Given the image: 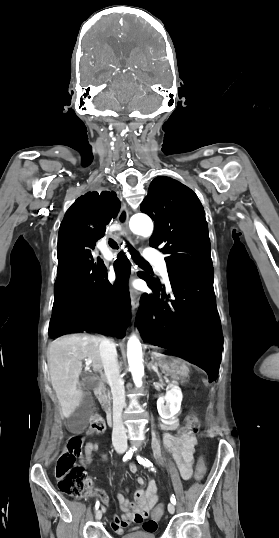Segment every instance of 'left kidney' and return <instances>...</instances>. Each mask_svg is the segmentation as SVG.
<instances>
[{
    "label": "left kidney",
    "instance_id": "obj_1",
    "mask_svg": "<svg viewBox=\"0 0 279 538\" xmlns=\"http://www.w3.org/2000/svg\"><path fill=\"white\" fill-rule=\"evenodd\" d=\"M183 394L179 386H172L171 390L166 392L165 396H161L157 400V410L164 420L176 416L181 410Z\"/></svg>",
    "mask_w": 279,
    "mask_h": 538
}]
</instances>
